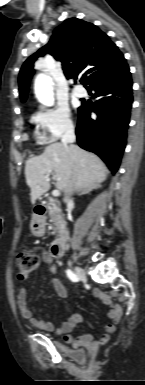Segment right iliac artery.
I'll use <instances>...</instances> for the list:
<instances>
[{"label": "right iliac artery", "instance_id": "1", "mask_svg": "<svg viewBox=\"0 0 145 385\" xmlns=\"http://www.w3.org/2000/svg\"><path fill=\"white\" fill-rule=\"evenodd\" d=\"M66 274H67L68 278H69L71 281H73V282H77V281H78L77 275L74 274L71 270L68 269V270L66 271Z\"/></svg>", "mask_w": 145, "mask_h": 385}]
</instances>
